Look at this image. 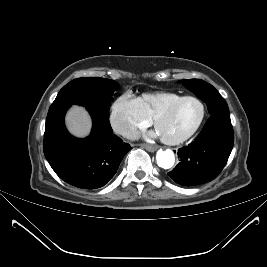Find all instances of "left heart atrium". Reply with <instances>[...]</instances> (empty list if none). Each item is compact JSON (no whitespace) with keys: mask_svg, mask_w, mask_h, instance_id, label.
Listing matches in <instances>:
<instances>
[{"mask_svg":"<svg viewBox=\"0 0 267 267\" xmlns=\"http://www.w3.org/2000/svg\"><path fill=\"white\" fill-rule=\"evenodd\" d=\"M156 134H157V135H159V133H158V132H157V133H153L152 135H156Z\"/></svg>","mask_w":267,"mask_h":267,"instance_id":"1","label":"left heart atrium"}]
</instances>
